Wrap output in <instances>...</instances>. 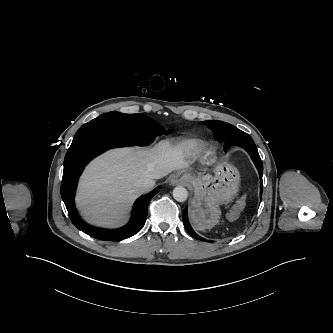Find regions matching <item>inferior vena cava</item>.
<instances>
[{"mask_svg": "<svg viewBox=\"0 0 333 333\" xmlns=\"http://www.w3.org/2000/svg\"><path fill=\"white\" fill-rule=\"evenodd\" d=\"M136 185L141 190L148 191L155 185V181L153 178L143 177L136 182Z\"/></svg>", "mask_w": 333, "mask_h": 333, "instance_id": "inferior-vena-cava-1", "label": "inferior vena cava"}]
</instances>
